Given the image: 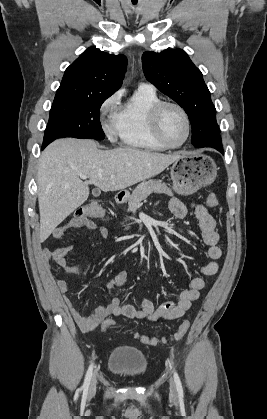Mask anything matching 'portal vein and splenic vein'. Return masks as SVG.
<instances>
[{
  "instance_id": "obj_1",
  "label": "portal vein and splenic vein",
  "mask_w": 267,
  "mask_h": 419,
  "mask_svg": "<svg viewBox=\"0 0 267 419\" xmlns=\"http://www.w3.org/2000/svg\"><path fill=\"white\" fill-rule=\"evenodd\" d=\"M80 178L85 180V179L88 178V176L87 175H80ZM111 178H115V175H111Z\"/></svg>"
}]
</instances>
